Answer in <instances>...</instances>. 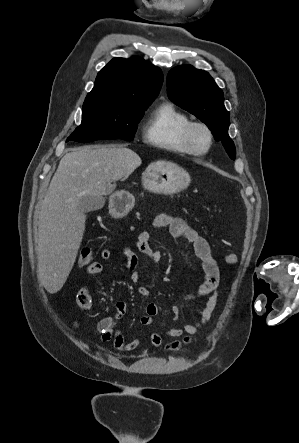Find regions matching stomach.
Here are the masks:
<instances>
[{
  "instance_id": "1",
  "label": "stomach",
  "mask_w": 299,
  "mask_h": 443,
  "mask_svg": "<svg viewBox=\"0 0 299 443\" xmlns=\"http://www.w3.org/2000/svg\"><path fill=\"white\" fill-rule=\"evenodd\" d=\"M189 174L173 163L161 162L149 165L142 174L144 189L158 194H175L187 188ZM135 199L126 191H116L109 198V211L113 217H123L134 206Z\"/></svg>"
}]
</instances>
